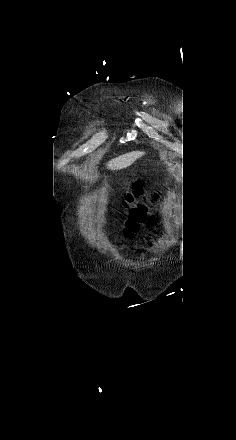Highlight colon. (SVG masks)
<instances>
[{
  "mask_svg": "<svg viewBox=\"0 0 236 440\" xmlns=\"http://www.w3.org/2000/svg\"><path fill=\"white\" fill-rule=\"evenodd\" d=\"M144 195V188L141 181H136L133 185V189L127 195V201L133 202L134 200ZM145 206L142 204L136 205L129 210V217L126 222V227L129 232L135 230L137 224L143 220L145 213Z\"/></svg>",
  "mask_w": 236,
  "mask_h": 440,
  "instance_id": "colon-1",
  "label": "colon"
}]
</instances>
